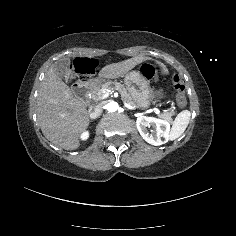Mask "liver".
<instances>
[{
    "instance_id": "1",
    "label": "liver",
    "mask_w": 236,
    "mask_h": 236,
    "mask_svg": "<svg viewBox=\"0 0 236 236\" xmlns=\"http://www.w3.org/2000/svg\"><path fill=\"white\" fill-rule=\"evenodd\" d=\"M147 59L146 56L134 57L108 65L99 72V77L115 79ZM36 109L42 133L48 140L66 150L78 147L77 136L87 127L89 120L86 103L72 95L53 66L41 82Z\"/></svg>"
}]
</instances>
